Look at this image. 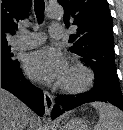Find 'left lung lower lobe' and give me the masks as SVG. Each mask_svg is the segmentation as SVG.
<instances>
[{"label": "left lung lower lobe", "instance_id": "1", "mask_svg": "<svg viewBox=\"0 0 123 130\" xmlns=\"http://www.w3.org/2000/svg\"><path fill=\"white\" fill-rule=\"evenodd\" d=\"M95 101L110 103L123 111V98L120 89L107 83H97L95 81L94 88L88 93L76 97L57 96L51 117L56 118L65 111Z\"/></svg>", "mask_w": 123, "mask_h": 130}]
</instances>
